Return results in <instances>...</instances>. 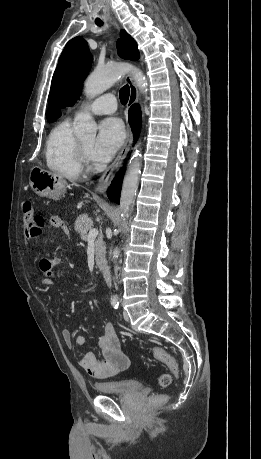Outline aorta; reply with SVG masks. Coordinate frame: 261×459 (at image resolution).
Wrapping results in <instances>:
<instances>
[{"label": "aorta", "instance_id": "obj_1", "mask_svg": "<svg viewBox=\"0 0 261 459\" xmlns=\"http://www.w3.org/2000/svg\"><path fill=\"white\" fill-rule=\"evenodd\" d=\"M127 72L132 73L134 81L136 82L141 92H146L148 84L143 73L132 65L118 63L104 68H97L85 82V95L87 98L92 99L102 94L107 89L112 87ZM96 132L97 125L92 117L87 113L79 114L77 123L74 127L75 136L79 138H95ZM140 157V150H136L130 159L124 177L120 198V210L122 218H127L129 216L130 207L134 202V197L138 189L139 175L141 173ZM119 254V248L116 247L113 250V257L118 258Z\"/></svg>", "mask_w": 261, "mask_h": 459}]
</instances>
